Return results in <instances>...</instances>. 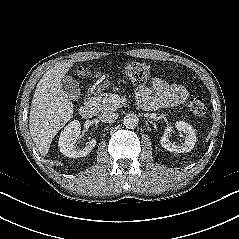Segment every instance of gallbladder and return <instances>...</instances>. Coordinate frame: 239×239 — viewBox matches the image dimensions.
Returning <instances> with one entry per match:
<instances>
[{
  "label": "gallbladder",
  "instance_id": "1",
  "mask_svg": "<svg viewBox=\"0 0 239 239\" xmlns=\"http://www.w3.org/2000/svg\"><path fill=\"white\" fill-rule=\"evenodd\" d=\"M61 87L68 94L71 100L77 101L80 98L81 92L79 84L75 78L71 76H64L61 79Z\"/></svg>",
  "mask_w": 239,
  "mask_h": 239
}]
</instances>
